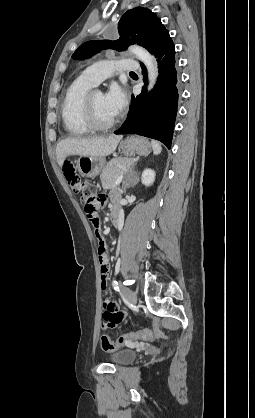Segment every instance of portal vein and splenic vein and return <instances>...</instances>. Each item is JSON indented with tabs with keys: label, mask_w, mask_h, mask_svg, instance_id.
Here are the masks:
<instances>
[{
	"label": "portal vein and splenic vein",
	"mask_w": 255,
	"mask_h": 418,
	"mask_svg": "<svg viewBox=\"0 0 255 418\" xmlns=\"http://www.w3.org/2000/svg\"><path fill=\"white\" fill-rule=\"evenodd\" d=\"M124 173H122L115 181L114 187L119 185L123 180Z\"/></svg>",
	"instance_id": "1"
}]
</instances>
